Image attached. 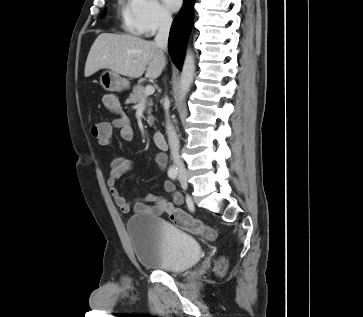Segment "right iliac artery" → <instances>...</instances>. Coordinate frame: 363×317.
Masks as SVG:
<instances>
[{
	"label": "right iliac artery",
	"instance_id": "obj_1",
	"mask_svg": "<svg viewBox=\"0 0 363 317\" xmlns=\"http://www.w3.org/2000/svg\"><path fill=\"white\" fill-rule=\"evenodd\" d=\"M168 176H169L171 179L175 180V179H176V177H177V171H176V170H170V171L168 172Z\"/></svg>",
	"mask_w": 363,
	"mask_h": 317
}]
</instances>
